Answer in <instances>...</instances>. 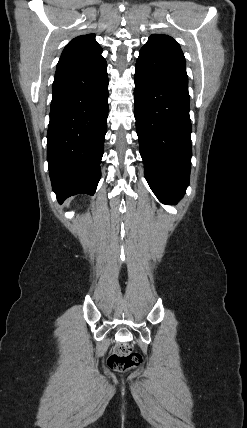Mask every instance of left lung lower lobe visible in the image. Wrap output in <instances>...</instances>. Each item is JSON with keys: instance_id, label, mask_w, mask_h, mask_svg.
Instances as JSON below:
<instances>
[{"instance_id": "1", "label": "left lung lower lobe", "mask_w": 247, "mask_h": 428, "mask_svg": "<svg viewBox=\"0 0 247 428\" xmlns=\"http://www.w3.org/2000/svg\"><path fill=\"white\" fill-rule=\"evenodd\" d=\"M134 116L146 180L166 203L189 185L191 120L185 63L142 48L135 66Z\"/></svg>"}]
</instances>
